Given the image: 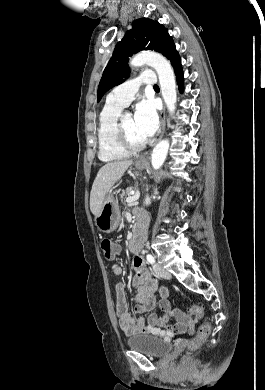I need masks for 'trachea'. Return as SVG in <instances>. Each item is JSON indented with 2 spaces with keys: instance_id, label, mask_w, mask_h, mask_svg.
<instances>
[{
  "instance_id": "3493384b",
  "label": "trachea",
  "mask_w": 265,
  "mask_h": 390,
  "mask_svg": "<svg viewBox=\"0 0 265 390\" xmlns=\"http://www.w3.org/2000/svg\"><path fill=\"white\" fill-rule=\"evenodd\" d=\"M154 88H159V86L158 85H154Z\"/></svg>"
}]
</instances>
